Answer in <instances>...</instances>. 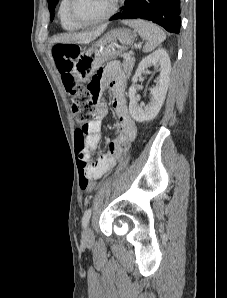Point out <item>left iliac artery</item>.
I'll list each match as a JSON object with an SVG mask.
<instances>
[{"label": "left iliac artery", "instance_id": "left-iliac-artery-1", "mask_svg": "<svg viewBox=\"0 0 227 298\" xmlns=\"http://www.w3.org/2000/svg\"><path fill=\"white\" fill-rule=\"evenodd\" d=\"M91 212H92V209L89 208L85 211L83 217H82V226L85 228L87 227L88 223H89V220H90V217H91Z\"/></svg>", "mask_w": 227, "mask_h": 298}]
</instances>
